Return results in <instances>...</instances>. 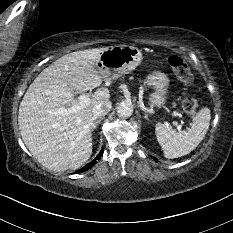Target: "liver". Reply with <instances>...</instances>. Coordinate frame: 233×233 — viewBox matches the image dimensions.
Instances as JSON below:
<instances>
[{
  "instance_id": "6515ba94",
  "label": "liver",
  "mask_w": 233,
  "mask_h": 233,
  "mask_svg": "<svg viewBox=\"0 0 233 233\" xmlns=\"http://www.w3.org/2000/svg\"><path fill=\"white\" fill-rule=\"evenodd\" d=\"M103 49L62 56L35 78L20 103L22 139L36 160L50 170L78 169L92 154V110L110 98L107 88H99L103 77L96 69ZM95 88L89 104L80 105L74 99V91ZM77 105L76 111L58 113Z\"/></svg>"
}]
</instances>
